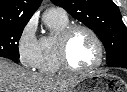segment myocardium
<instances>
[{"label":"myocardium","instance_id":"myocardium-1","mask_svg":"<svg viewBox=\"0 0 127 92\" xmlns=\"http://www.w3.org/2000/svg\"><path fill=\"white\" fill-rule=\"evenodd\" d=\"M77 31L87 32L94 40L98 50V58L96 62L90 67H87L84 69H78L74 67L71 64L69 60V55H68L70 40L72 36L74 35V33ZM57 53H58L60 65L63 68V70L69 73H74V74H85L97 69L98 67L102 65L104 61V57H105L104 46L99 35L91 27L84 24L69 25L60 33L57 40Z\"/></svg>","mask_w":127,"mask_h":92}]
</instances>
